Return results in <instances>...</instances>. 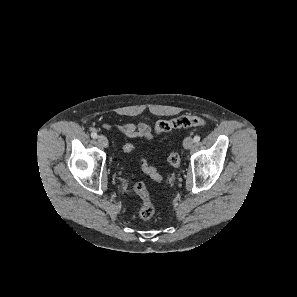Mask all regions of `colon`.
<instances>
[{"label":"colon","mask_w":297,"mask_h":297,"mask_svg":"<svg viewBox=\"0 0 297 297\" xmlns=\"http://www.w3.org/2000/svg\"><path fill=\"white\" fill-rule=\"evenodd\" d=\"M205 121L194 115H182L166 120H159L156 123L155 131L157 134H162L173 129L188 128V127H203ZM123 150L126 153L134 151V146L130 143L124 145ZM168 162L172 167H178L180 164V156L176 152H171L168 156ZM143 171L156 181H162V176L150 166L146 160L140 161ZM134 190L142 199V204L139 207L138 215L143 220H149L153 217L155 210L151 202L146 186L142 182L134 184Z\"/></svg>","instance_id":"5ec220e1"}]
</instances>
